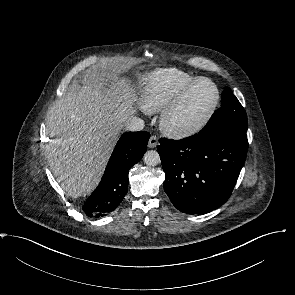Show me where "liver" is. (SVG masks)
Segmentation results:
<instances>
[{
    "mask_svg": "<svg viewBox=\"0 0 295 295\" xmlns=\"http://www.w3.org/2000/svg\"><path fill=\"white\" fill-rule=\"evenodd\" d=\"M133 90L117 72H102L73 85L48 110V162L67 195L86 196L99 184L118 133L136 113Z\"/></svg>",
    "mask_w": 295,
    "mask_h": 295,
    "instance_id": "liver-1",
    "label": "liver"
}]
</instances>
